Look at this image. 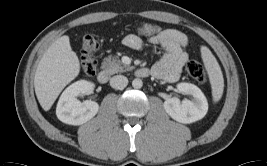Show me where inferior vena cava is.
I'll return each instance as SVG.
<instances>
[{
    "label": "inferior vena cava",
    "instance_id": "inferior-vena-cava-1",
    "mask_svg": "<svg viewBox=\"0 0 267 166\" xmlns=\"http://www.w3.org/2000/svg\"><path fill=\"white\" fill-rule=\"evenodd\" d=\"M128 79L123 75H116L110 79V85L114 89H123L127 86Z\"/></svg>",
    "mask_w": 267,
    "mask_h": 166
}]
</instances>
